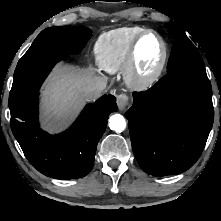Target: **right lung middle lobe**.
Here are the masks:
<instances>
[{"mask_svg":"<svg viewBox=\"0 0 221 221\" xmlns=\"http://www.w3.org/2000/svg\"><path fill=\"white\" fill-rule=\"evenodd\" d=\"M91 36V30L81 26L43 30L17 64L9 94V107L34 95L52 67L68 55L79 53Z\"/></svg>","mask_w":221,"mask_h":221,"instance_id":"obj_1","label":"right lung middle lobe"}]
</instances>
